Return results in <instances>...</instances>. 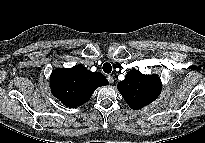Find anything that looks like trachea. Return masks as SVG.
I'll return each instance as SVG.
<instances>
[{
	"instance_id": "trachea-1",
	"label": "trachea",
	"mask_w": 205,
	"mask_h": 143,
	"mask_svg": "<svg viewBox=\"0 0 205 143\" xmlns=\"http://www.w3.org/2000/svg\"><path fill=\"white\" fill-rule=\"evenodd\" d=\"M102 69H103V71L105 72V73H111V71H112V66H111V64L110 63H104V65H103V67H102Z\"/></svg>"
}]
</instances>
